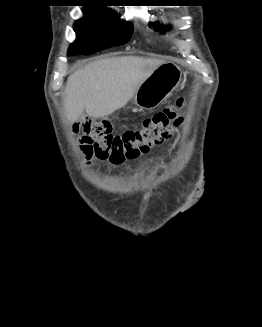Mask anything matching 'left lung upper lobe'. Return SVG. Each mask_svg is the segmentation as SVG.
<instances>
[{"instance_id": "5c2ea615", "label": "left lung upper lobe", "mask_w": 262, "mask_h": 327, "mask_svg": "<svg viewBox=\"0 0 262 327\" xmlns=\"http://www.w3.org/2000/svg\"><path fill=\"white\" fill-rule=\"evenodd\" d=\"M156 28V30H159V32H162V28H160V29H158L157 27H155ZM165 29H167V28H165Z\"/></svg>"}]
</instances>
